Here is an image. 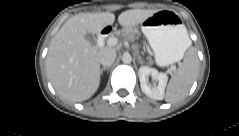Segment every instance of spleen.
<instances>
[{
	"label": "spleen",
	"instance_id": "3e777b00",
	"mask_svg": "<svg viewBox=\"0 0 239 136\" xmlns=\"http://www.w3.org/2000/svg\"><path fill=\"white\" fill-rule=\"evenodd\" d=\"M189 46L191 40L187 37ZM198 72V58L194 51H191L185 58L183 64L171 77L167 86L165 100L167 102H178L188 94Z\"/></svg>",
	"mask_w": 239,
	"mask_h": 136
}]
</instances>
